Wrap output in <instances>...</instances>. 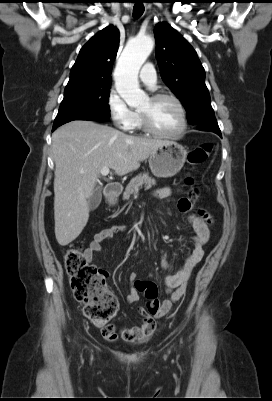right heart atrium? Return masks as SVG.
Instances as JSON below:
<instances>
[{"label": "right heart atrium", "mask_w": 272, "mask_h": 401, "mask_svg": "<svg viewBox=\"0 0 272 401\" xmlns=\"http://www.w3.org/2000/svg\"><path fill=\"white\" fill-rule=\"evenodd\" d=\"M106 106L111 119L118 128L122 130L132 128L136 112L129 108L115 89L108 92Z\"/></svg>", "instance_id": "obj_1"}]
</instances>
